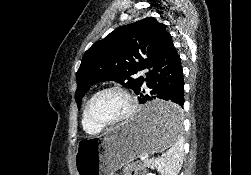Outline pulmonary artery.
Listing matches in <instances>:
<instances>
[{
    "label": "pulmonary artery",
    "mask_w": 251,
    "mask_h": 175,
    "mask_svg": "<svg viewBox=\"0 0 251 175\" xmlns=\"http://www.w3.org/2000/svg\"><path fill=\"white\" fill-rule=\"evenodd\" d=\"M148 70H153V65H148ZM141 79H148V74H141Z\"/></svg>",
    "instance_id": "obj_1"
}]
</instances>
